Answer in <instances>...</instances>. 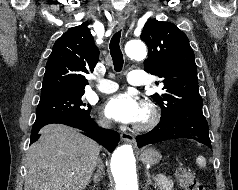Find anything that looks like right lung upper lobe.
Instances as JSON below:
<instances>
[{"mask_svg":"<svg viewBox=\"0 0 238 190\" xmlns=\"http://www.w3.org/2000/svg\"><path fill=\"white\" fill-rule=\"evenodd\" d=\"M99 50L85 22L69 28L54 44L46 64L41 97L84 92L85 74L92 72Z\"/></svg>","mask_w":238,"mask_h":190,"instance_id":"obj_1","label":"right lung upper lobe"}]
</instances>
